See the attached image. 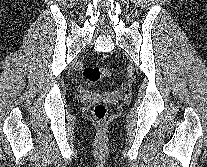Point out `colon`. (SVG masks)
Segmentation results:
<instances>
[{
	"label": "colon",
	"mask_w": 207,
	"mask_h": 167,
	"mask_svg": "<svg viewBox=\"0 0 207 167\" xmlns=\"http://www.w3.org/2000/svg\"><path fill=\"white\" fill-rule=\"evenodd\" d=\"M110 75L111 71L105 67L86 66L83 69V77L92 84H97ZM93 115L97 121L103 122L108 115L107 106L104 103H97L94 106Z\"/></svg>",
	"instance_id": "5ec220e1"
}]
</instances>
